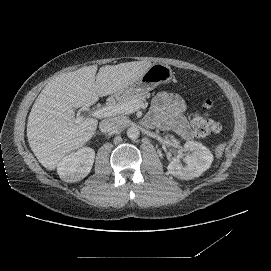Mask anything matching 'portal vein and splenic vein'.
<instances>
[{
	"label": "portal vein and splenic vein",
	"mask_w": 271,
	"mask_h": 271,
	"mask_svg": "<svg viewBox=\"0 0 271 271\" xmlns=\"http://www.w3.org/2000/svg\"><path fill=\"white\" fill-rule=\"evenodd\" d=\"M134 103L135 104L131 102H126L122 104L108 105L92 112V116L97 118H104L114 116L116 114H131L138 110L139 108H141L142 105H144L143 103L140 102Z\"/></svg>",
	"instance_id": "obj_1"
}]
</instances>
